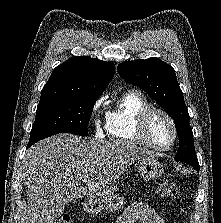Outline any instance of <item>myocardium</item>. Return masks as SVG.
Segmentation results:
<instances>
[{
    "mask_svg": "<svg viewBox=\"0 0 221 223\" xmlns=\"http://www.w3.org/2000/svg\"><path fill=\"white\" fill-rule=\"evenodd\" d=\"M157 113L163 115L168 120V122L172 128V131H173V139H172L171 143L167 146L156 145L150 139L149 134H148L149 121L152 118V116ZM135 131H136V134L139 137V139L144 144H146L151 149L156 150V151H162V152L168 151L175 146V144L177 143V140H178V128H177L174 118L166 110H164L162 108H158V107L151 106L140 113Z\"/></svg>",
    "mask_w": 221,
    "mask_h": 223,
    "instance_id": "1",
    "label": "myocardium"
}]
</instances>
